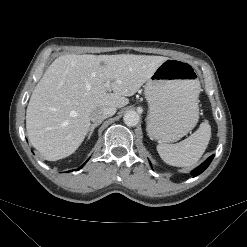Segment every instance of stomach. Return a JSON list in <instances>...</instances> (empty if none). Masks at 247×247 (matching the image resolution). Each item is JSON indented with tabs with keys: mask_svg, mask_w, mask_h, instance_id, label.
Returning a JSON list of instances; mask_svg holds the SVG:
<instances>
[{
	"mask_svg": "<svg viewBox=\"0 0 247 247\" xmlns=\"http://www.w3.org/2000/svg\"><path fill=\"white\" fill-rule=\"evenodd\" d=\"M200 84L186 61L167 59L145 85L147 133L161 144L175 142L197 124Z\"/></svg>",
	"mask_w": 247,
	"mask_h": 247,
	"instance_id": "obj_1",
	"label": "stomach"
}]
</instances>
